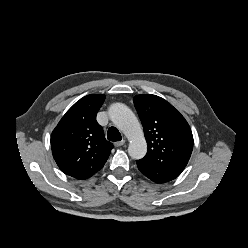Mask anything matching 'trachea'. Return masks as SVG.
Segmentation results:
<instances>
[{
    "mask_svg": "<svg viewBox=\"0 0 248 248\" xmlns=\"http://www.w3.org/2000/svg\"><path fill=\"white\" fill-rule=\"evenodd\" d=\"M107 138L110 141L116 142L120 141L122 139V136L117 128L110 127L107 132Z\"/></svg>",
    "mask_w": 248,
    "mask_h": 248,
    "instance_id": "3493384b",
    "label": "trachea"
}]
</instances>
